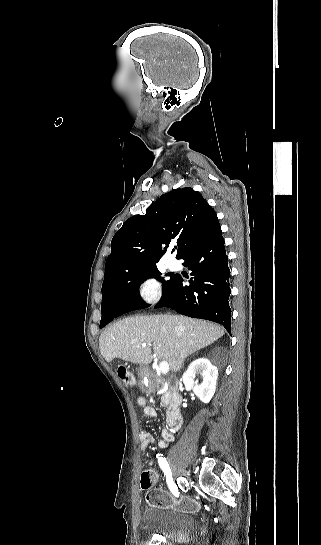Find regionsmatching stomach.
Listing matches in <instances>:
<instances>
[{
  "mask_svg": "<svg viewBox=\"0 0 321 545\" xmlns=\"http://www.w3.org/2000/svg\"><path fill=\"white\" fill-rule=\"evenodd\" d=\"M137 371H138V375H139V379H140L142 389H147V387H144L142 379H143V377H146V371H149L148 367H143V365H140V367H138Z\"/></svg>",
  "mask_w": 321,
  "mask_h": 545,
  "instance_id": "0dacf381",
  "label": "stomach"
}]
</instances>
